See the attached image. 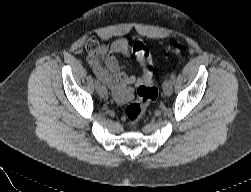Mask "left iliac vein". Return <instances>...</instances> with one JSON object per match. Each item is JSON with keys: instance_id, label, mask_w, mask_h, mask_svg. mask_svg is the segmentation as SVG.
<instances>
[{"instance_id": "1", "label": "left iliac vein", "mask_w": 251, "mask_h": 192, "mask_svg": "<svg viewBox=\"0 0 251 192\" xmlns=\"http://www.w3.org/2000/svg\"><path fill=\"white\" fill-rule=\"evenodd\" d=\"M163 92L166 96H170L173 92V83L171 80H166L163 83Z\"/></svg>"}]
</instances>
